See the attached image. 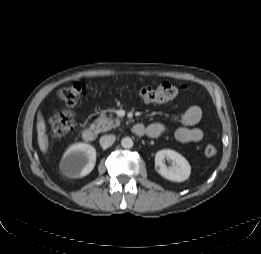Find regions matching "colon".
I'll list each match as a JSON object with an SVG mask.
<instances>
[{
    "mask_svg": "<svg viewBox=\"0 0 261 254\" xmlns=\"http://www.w3.org/2000/svg\"><path fill=\"white\" fill-rule=\"evenodd\" d=\"M184 88V86H178L171 82L164 81L157 87L141 86L136 89V94L146 101L163 102L177 97ZM85 89V84L77 81L62 88L58 96L67 106H74L81 99ZM49 123L54 135L63 136L73 129L75 117L71 112H59L50 118ZM204 153L207 157H213L217 154V148L212 144H208L204 149Z\"/></svg>",
    "mask_w": 261,
    "mask_h": 254,
    "instance_id": "obj_1",
    "label": "colon"
}]
</instances>
